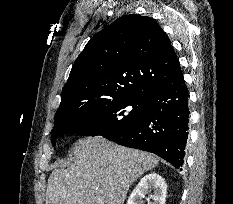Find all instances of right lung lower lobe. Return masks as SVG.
I'll list each match as a JSON object with an SVG mask.
<instances>
[{
    "instance_id": "1",
    "label": "right lung lower lobe",
    "mask_w": 233,
    "mask_h": 204,
    "mask_svg": "<svg viewBox=\"0 0 233 204\" xmlns=\"http://www.w3.org/2000/svg\"><path fill=\"white\" fill-rule=\"evenodd\" d=\"M189 93L180 64L147 96L146 114L110 141L152 152L181 169L189 132Z\"/></svg>"
}]
</instances>
